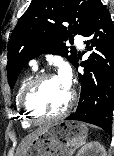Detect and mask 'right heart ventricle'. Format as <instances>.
I'll return each mask as SVG.
<instances>
[{
	"mask_svg": "<svg viewBox=\"0 0 114 156\" xmlns=\"http://www.w3.org/2000/svg\"><path fill=\"white\" fill-rule=\"evenodd\" d=\"M34 76V72H30L28 73L26 76H24L22 78V80L20 81L17 91H16V96H15V103H16V107H17V114L20 117L21 120V125L23 128H29L33 123H31L26 116L24 115V113L21 110V106H20V97L21 94L25 88V86L27 85V83L31 80V78Z\"/></svg>",
	"mask_w": 114,
	"mask_h": 156,
	"instance_id": "e07e8e85",
	"label": "right heart ventricle"
}]
</instances>
